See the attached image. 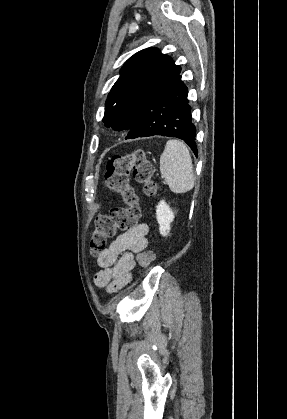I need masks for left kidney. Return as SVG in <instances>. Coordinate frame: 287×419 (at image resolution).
Segmentation results:
<instances>
[{
    "mask_svg": "<svg viewBox=\"0 0 287 419\" xmlns=\"http://www.w3.org/2000/svg\"><path fill=\"white\" fill-rule=\"evenodd\" d=\"M156 219L160 234L167 236L171 229L170 224L174 220V212L164 200L160 201L156 207Z\"/></svg>",
    "mask_w": 287,
    "mask_h": 419,
    "instance_id": "left-kidney-1",
    "label": "left kidney"
}]
</instances>
